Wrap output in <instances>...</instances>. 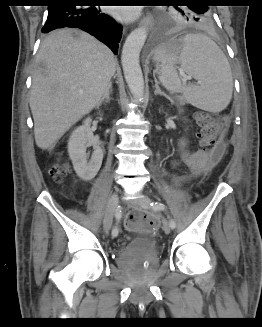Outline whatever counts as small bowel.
<instances>
[{
	"mask_svg": "<svg viewBox=\"0 0 262 327\" xmlns=\"http://www.w3.org/2000/svg\"><path fill=\"white\" fill-rule=\"evenodd\" d=\"M181 163L195 175L205 173L212 166L208 154L199 150L191 151L184 149L181 156Z\"/></svg>",
	"mask_w": 262,
	"mask_h": 327,
	"instance_id": "obj_1",
	"label": "small bowel"
}]
</instances>
